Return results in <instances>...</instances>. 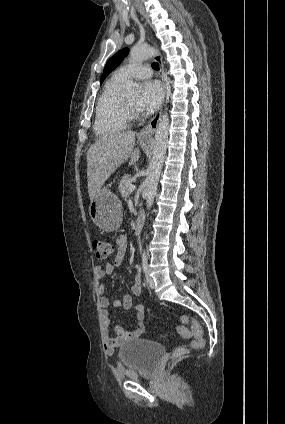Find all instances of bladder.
Returning <instances> with one entry per match:
<instances>
[{
  "label": "bladder",
  "instance_id": "bladder-1",
  "mask_svg": "<svg viewBox=\"0 0 285 424\" xmlns=\"http://www.w3.org/2000/svg\"><path fill=\"white\" fill-rule=\"evenodd\" d=\"M164 353L163 345L143 339L129 340L116 351L126 373L131 377L155 372Z\"/></svg>",
  "mask_w": 285,
  "mask_h": 424
}]
</instances>
